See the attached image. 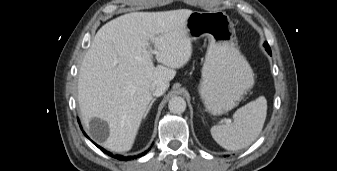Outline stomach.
<instances>
[{
    "label": "stomach",
    "mask_w": 337,
    "mask_h": 171,
    "mask_svg": "<svg viewBox=\"0 0 337 171\" xmlns=\"http://www.w3.org/2000/svg\"><path fill=\"white\" fill-rule=\"evenodd\" d=\"M186 29L191 40L208 39L199 94L211 115H222L253 87V70L237 47L233 23L225 12H192Z\"/></svg>",
    "instance_id": "stomach-1"
}]
</instances>
